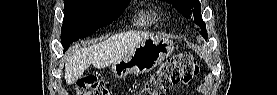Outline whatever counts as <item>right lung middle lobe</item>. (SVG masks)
I'll use <instances>...</instances> for the list:
<instances>
[{
  "label": "right lung middle lobe",
  "instance_id": "dd1d6c3e",
  "mask_svg": "<svg viewBox=\"0 0 277 95\" xmlns=\"http://www.w3.org/2000/svg\"><path fill=\"white\" fill-rule=\"evenodd\" d=\"M129 0H64L61 43L66 51L79 38L117 19Z\"/></svg>",
  "mask_w": 277,
  "mask_h": 95
}]
</instances>
